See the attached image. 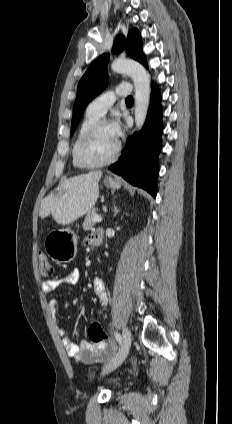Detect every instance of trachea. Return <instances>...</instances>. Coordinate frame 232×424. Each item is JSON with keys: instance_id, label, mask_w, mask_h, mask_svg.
Masks as SVG:
<instances>
[{"instance_id": "trachea-1", "label": "trachea", "mask_w": 232, "mask_h": 424, "mask_svg": "<svg viewBox=\"0 0 232 424\" xmlns=\"http://www.w3.org/2000/svg\"><path fill=\"white\" fill-rule=\"evenodd\" d=\"M126 103H133V97L132 96L127 97Z\"/></svg>"}]
</instances>
